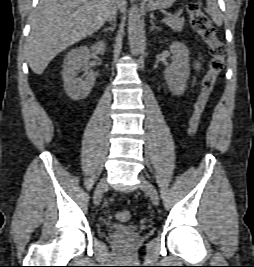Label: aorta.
Masks as SVG:
<instances>
[{
	"mask_svg": "<svg viewBox=\"0 0 254 267\" xmlns=\"http://www.w3.org/2000/svg\"><path fill=\"white\" fill-rule=\"evenodd\" d=\"M128 40L132 55H139L143 46V33L138 6L133 5L128 14Z\"/></svg>",
	"mask_w": 254,
	"mask_h": 267,
	"instance_id": "762f6f07",
	"label": "aorta"
}]
</instances>
